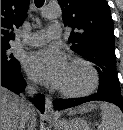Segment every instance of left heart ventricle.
Returning <instances> with one entry per match:
<instances>
[{"instance_id": "b2bd125f", "label": "left heart ventricle", "mask_w": 123, "mask_h": 130, "mask_svg": "<svg viewBox=\"0 0 123 130\" xmlns=\"http://www.w3.org/2000/svg\"><path fill=\"white\" fill-rule=\"evenodd\" d=\"M90 83V73L80 65L68 64L58 86L79 90L88 86Z\"/></svg>"}]
</instances>
